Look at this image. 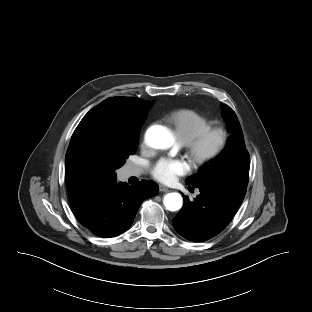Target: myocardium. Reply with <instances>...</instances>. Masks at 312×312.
Here are the masks:
<instances>
[{"mask_svg":"<svg viewBox=\"0 0 312 312\" xmlns=\"http://www.w3.org/2000/svg\"><path fill=\"white\" fill-rule=\"evenodd\" d=\"M229 142V132L223 125H213L193 137L185 145L196 164L202 165L218 158Z\"/></svg>","mask_w":312,"mask_h":312,"instance_id":"1","label":"myocardium"}]
</instances>
